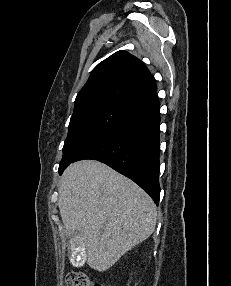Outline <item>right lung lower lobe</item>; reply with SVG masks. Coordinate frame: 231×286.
<instances>
[{"instance_id": "obj_1", "label": "right lung lower lobe", "mask_w": 231, "mask_h": 286, "mask_svg": "<svg viewBox=\"0 0 231 286\" xmlns=\"http://www.w3.org/2000/svg\"><path fill=\"white\" fill-rule=\"evenodd\" d=\"M133 110L132 116L92 142L72 162L83 159L103 162L137 183L158 204L160 116L156 90Z\"/></svg>"}]
</instances>
